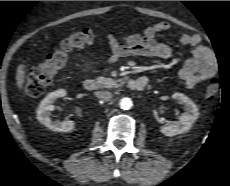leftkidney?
Returning <instances> with one entry per match:
<instances>
[{"label": "left kidney", "mask_w": 230, "mask_h": 186, "mask_svg": "<svg viewBox=\"0 0 230 186\" xmlns=\"http://www.w3.org/2000/svg\"><path fill=\"white\" fill-rule=\"evenodd\" d=\"M172 98L185 105V113L179 117V121H174L160 128L161 133L170 137L187 132L199 116L196 104L187 96L177 92L172 95Z\"/></svg>", "instance_id": "obj_1"}]
</instances>
